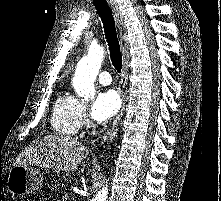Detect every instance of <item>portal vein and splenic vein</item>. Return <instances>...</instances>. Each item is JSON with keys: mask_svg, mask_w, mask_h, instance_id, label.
<instances>
[{"mask_svg": "<svg viewBox=\"0 0 221 201\" xmlns=\"http://www.w3.org/2000/svg\"><path fill=\"white\" fill-rule=\"evenodd\" d=\"M67 197H68V196H67V195H65V197H64V198H65V199H67Z\"/></svg>", "mask_w": 221, "mask_h": 201, "instance_id": "1", "label": "portal vein and splenic vein"}]
</instances>
